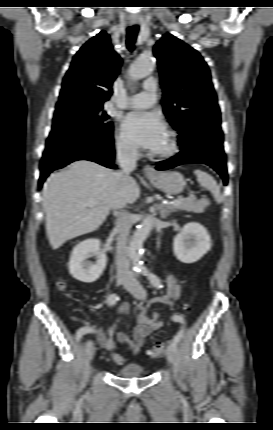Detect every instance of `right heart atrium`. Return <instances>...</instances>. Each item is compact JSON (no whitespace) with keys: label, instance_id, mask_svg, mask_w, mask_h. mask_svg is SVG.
Wrapping results in <instances>:
<instances>
[{"label":"right heart atrium","instance_id":"obj_1","mask_svg":"<svg viewBox=\"0 0 273 430\" xmlns=\"http://www.w3.org/2000/svg\"><path fill=\"white\" fill-rule=\"evenodd\" d=\"M116 150L125 157H133L137 153V148L132 144L123 133H118L116 136Z\"/></svg>","mask_w":273,"mask_h":430}]
</instances>
